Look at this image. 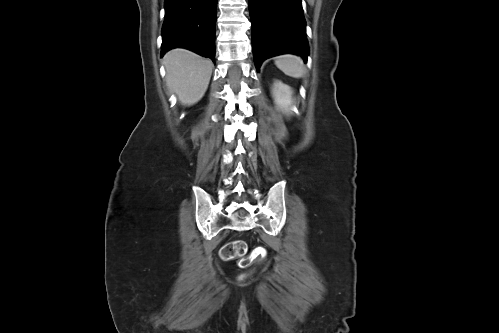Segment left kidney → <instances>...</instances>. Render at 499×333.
Instances as JSON below:
<instances>
[{"instance_id": "5707ae66", "label": "left kidney", "mask_w": 499, "mask_h": 333, "mask_svg": "<svg viewBox=\"0 0 499 333\" xmlns=\"http://www.w3.org/2000/svg\"><path fill=\"white\" fill-rule=\"evenodd\" d=\"M272 96L276 106L285 114L293 110V91L291 87L281 81H275L272 88Z\"/></svg>"}]
</instances>
